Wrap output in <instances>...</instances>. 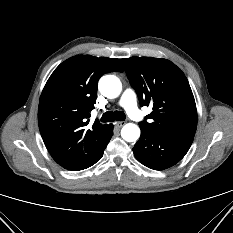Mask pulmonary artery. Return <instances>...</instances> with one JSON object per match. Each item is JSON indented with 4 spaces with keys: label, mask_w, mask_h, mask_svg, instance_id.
<instances>
[{
    "label": "pulmonary artery",
    "mask_w": 233,
    "mask_h": 233,
    "mask_svg": "<svg viewBox=\"0 0 233 233\" xmlns=\"http://www.w3.org/2000/svg\"><path fill=\"white\" fill-rule=\"evenodd\" d=\"M120 106H122L128 115L135 120H143L144 116L139 111L136 102V94L131 88L124 90L119 101Z\"/></svg>",
    "instance_id": "1"
}]
</instances>
